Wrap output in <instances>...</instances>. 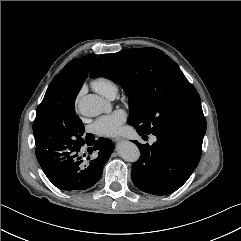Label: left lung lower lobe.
I'll use <instances>...</instances> for the list:
<instances>
[{
    "label": "left lung lower lobe",
    "instance_id": "left-lung-lower-lobe-1",
    "mask_svg": "<svg viewBox=\"0 0 241 241\" xmlns=\"http://www.w3.org/2000/svg\"><path fill=\"white\" fill-rule=\"evenodd\" d=\"M154 135L157 141L151 146L133 141L141 155L132 166L131 178L144 192L166 195L180 188L197 167L203 137L172 129Z\"/></svg>",
    "mask_w": 241,
    "mask_h": 241
}]
</instances>
